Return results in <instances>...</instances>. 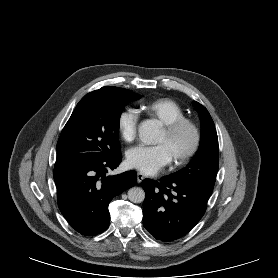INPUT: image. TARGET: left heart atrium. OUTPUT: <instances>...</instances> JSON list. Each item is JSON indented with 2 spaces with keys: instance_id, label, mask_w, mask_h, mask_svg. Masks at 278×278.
I'll return each instance as SVG.
<instances>
[{
  "instance_id": "left-heart-atrium-1",
  "label": "left heart atrium",
  "mask_w": 278,
  "mask_h": 278,
  "mask_svg": "<svg viewBox=\"0 0 278 278\" xmlns=\"http://www.w3.org/2000/svg\"><path fill=\"white\" fill-rule=\"evenodd\" d=\"M171 162V158L163 145L137 146L127 153L130 167L146 175H154Z\"/></svg>"
}]
</instances>
